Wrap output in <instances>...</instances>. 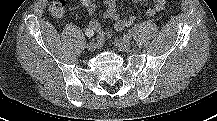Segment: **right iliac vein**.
<instances>
[{"label": "right iliac vein", "mask_w": 217, "mask_h": 121, "mask_svg": "<svg viewBox=\"0 0 217 121\" xmlns=\"http://www.w3.org/2000/svg\"><path fill=\"white\" fill-rule=\"evenodd\" d=\"M97 44L94 41H91L87 44L86 48L89 52L95 51Z\"/></svg>", "instance_id": "obj_1"}]
</instances>
